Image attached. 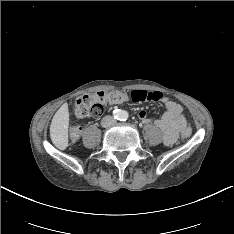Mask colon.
<instances>
[{"instance_id":"colon-1","label":"colon","mask_w":234,"mask_h":234,"mask_svg":"<svg viewBox=\"0 0 234 234\" xmlns=\"http://www.w3.org/2000/svg\"><path fill=\"white\" fill-rule=\"evenodd\" d=\"M162 97L160 92L132 91L130 93L122 91H100L93 94L80 96L75 101V114L79 118L100 117L107 104H119L125 101L145 102L159 101ZM81 134V127L71 128L69 138L72 143L76 142ZM191 135V128L186 127L182 132L183 138Z\"/></svg>"}]
</instances>
